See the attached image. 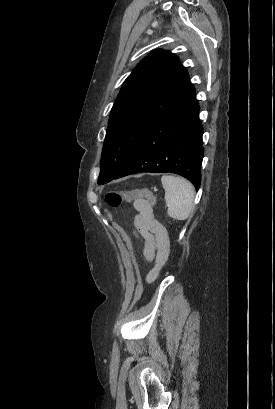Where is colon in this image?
<instances>
[{
    "instance_id": "5ec220e1",
    "label": "colon",
    "mask_w": 275,
    "mask_h": 409,
    "mask_svg": "<svg viewBox=\"0 0 275 409\" xmlns=\"http://www.w3.org/2000/svg\"><path fill=\"white\" fill-rule=\"evenodd\" d=\"M141 198L146 199V201L152 206H155L157 203L156 197L147 188L127 190L123 192L110 191L106 194V201L108 205L113 208L119 207L123 201L132 202L138 201Z\"/></svg>"
}]
</instances>
